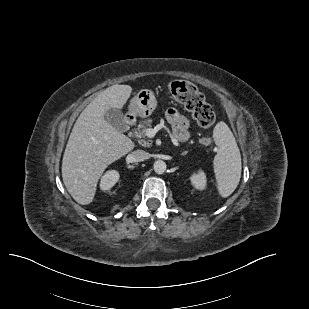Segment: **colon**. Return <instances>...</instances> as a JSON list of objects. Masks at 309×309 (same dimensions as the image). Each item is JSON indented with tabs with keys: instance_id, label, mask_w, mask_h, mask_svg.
<instances>
[{
	"instance_id": "obj_1",
	"label": "colon",
	"mask_w": 309,
	"mask_h": 309,
	"mask_svg": "<svg viewBox=\"0 0 309 309\" xmlns=\"http://www.w3.org/2000/svg\"><path fill=\"white\" fill-rule=\"evenodd\" d=\"M169 92L172 97L191 112L196 122L203 128L211 127L215 122V113L206 102L203 94L190 82L176 80L169 84ZM204 146L211 144L209 137L200 139Z\"/></svg>"
}]
</instances>
